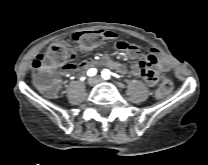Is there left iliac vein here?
Returning a JSON list of instances; mask_svg holds the SVG:
<instances>
[{
    "label": "left iliac vein",
    "mask_w": 208,
    "mask_h": 165,
    "mask_svg": "<svg viewBox=\"0 0 208 165\" xmlns=\"http://www.w3.org/2000/svg\"><path fill=\"white\" fill-rule=\"evenodd\" d=\"M96 80H97V82H102L103 81V79L99 78V77H97Z\"/></svg>",
    "instance_id": "left-iliac-vein-1"
}]
</instances>
